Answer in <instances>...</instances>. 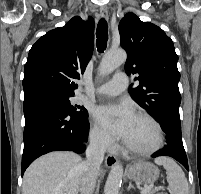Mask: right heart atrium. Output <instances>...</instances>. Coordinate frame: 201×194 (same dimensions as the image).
Listing matches in <instances>:
<instances>
[{"label":"right heart atrium","mask_w":201,"mask_h":194,"mask_svg":"<svg viewBox=\"0 0 201 194\" xmlns=\"http://www.w3.org/2000/svg\"><path fill=\"white\" fill-rule=\"evenodd\" d=\"M89 139L91 144L100 151L111 149L114 146L113 138L96 124L90 128Z\"/></svg>","instance_id":"d8ad5b80"}]
</instances>
